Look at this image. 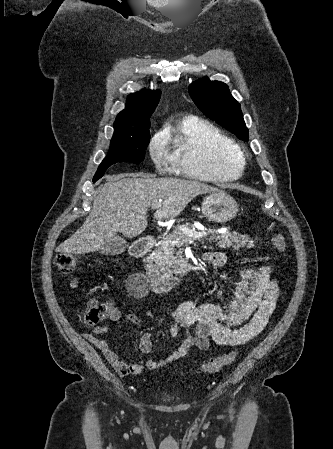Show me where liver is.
<instances>
[{
    "mask_svg": "<svg viewBox=\"0 0 333 449\" xmlns=\"http://www.w3.org/2000/svg\"><path fill=\"white\" fill-rule=\"evenodd\" d=\"M94 193L93 208L83 226L60 244L57 252L86 254L100 251L118 232L131 238L147 227L148 208L162 200L154 218L177 217L195 197L218 192L204 183L172 178L145 177L137 173L106 176Z\"/></svg>",
    "mask_w": 333,
    "mask_h": 449,
    "instance_id": "liver-1",
    "label": "liver"
}]
</instances>
